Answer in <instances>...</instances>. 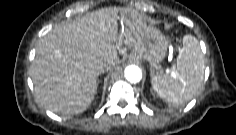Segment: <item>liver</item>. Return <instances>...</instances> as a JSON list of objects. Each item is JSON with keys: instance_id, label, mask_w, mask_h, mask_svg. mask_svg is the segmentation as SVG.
<instances>
[{"instance_id": "1", "label": "liver", "mask_w": 236, "mask_h": 135, "mask_svg": "<svg viewBox=\"0 0 236 135\" xmlns=\"http://www.w3.org/2000/svg\"><path fill=\"white\" fill-rule=\"evenodd\" d=\"M127 11L133 21L124 23L119 34L118 13ZM146 28L137 13L118 7L56 25L39 40L31 67L38 102L61 116L85 111L94 99L98 76L119 63L117 42L137 50Z\"/></svg>"}]
</instances>
